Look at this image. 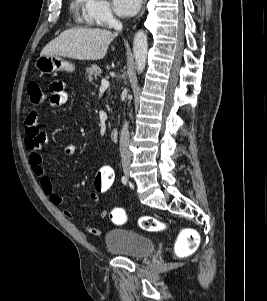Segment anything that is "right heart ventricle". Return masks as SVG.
I'll return each mask as SVG.
<instances>
[{"mask_svg": "<svg viewBox=\"0 0 267 301\" xmlns=\"http://www.w3.org/2000/svg\"><path fill=\"white\" fill-rule=\"evenodd\" d=\"M86 4H87V0H73V2H72L71 9L80 21H82V19H80V16H79L80 11L84 12L83 17L85 19Z\"/></svg>", "mask_w": 267, "mask_h": 301, "instance_id": "e07e8e85", "label": "right heart ventricle"}]
</instances>
